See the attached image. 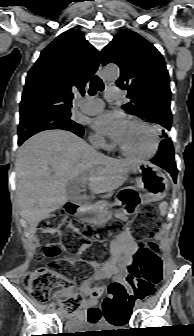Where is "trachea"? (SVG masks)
<instances>
[{"instance_id":"3493384b","label":"trachea","mask_w":194,"mask_h":336,"mask_svg":"<svg viewBox=\"0 0 194 336\" xmlns=\"http://www.w3.org/2000/svg\"><path fill=\"white\" fill-rule=\"evenodd\" d=\"M104 89V84L102 80L98 76H93L91 83H90V89H89V95L93 96L97 93V91H102Z\"/></svg>"}]
</instances>
